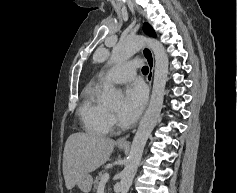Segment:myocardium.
<instances>
[{
	"instance_id": "myocardium-1",
	"label": "myocardium",
	"mask_w": 237,
	"mask_h": 193,
	"mask_svg": "<svg viewBox=\"0 0 237 193\" xmlns=\"http://www.w3.org/2000/svg\"><path fill=\"white\" fill-rule=\"evenodd\" d=\"M108 112H109V116H110L111 120H112V121H115V120H116V115H115V113L112 112V111H109V110H108Z\"/></svg>"
}]
</instances>
